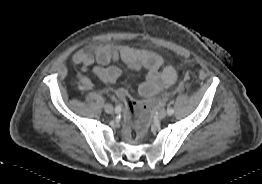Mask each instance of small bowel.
<instances>
[{
    "label": "small bowel",
    "instance_id": "small-bowel-1",
    "mask_svg": "<svg viewBox=\"0 0 262 184\" xmlns=\"http://www.w3.org/2000/svg\"><path fill=\"white\" fill-rule=\"evenodd\" d=\"M72 61L82 66L83 71L93 68L98 79L107 84H114L120 77L121 70L113 65L122 61L133 71L145 70L144 78L138 82L137 89L142 96H152L171 86L177 79L173 66L162 67L159 54L127 45L104 44L89 46L77 50ZM94 82L87 76H81V88L91 90Z\"/></svg>",
    "mask_w": 262,
    "mask_h": 184
}]
</instances>
